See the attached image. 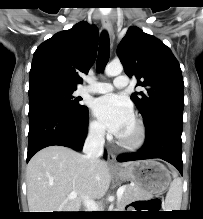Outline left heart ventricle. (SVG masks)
<instances>
[{
	"label": "left heart ventricle",
	"instance_id": "obj_1",
	"mask_svg": "<svg viewBox=\"0 0 203 219\" xmlns=\"http://www.w3.org/2000/svg\"><path fill=\"white\" fill-rule=\"evenodd\" d=\"M136 135V127L133 122V120L121 131V133L118 135L119 137L126 139V140H131L135 137Z\"/></svg>",
	"mask_w": 203,
	"mask_h": 219
}]
</instances>
